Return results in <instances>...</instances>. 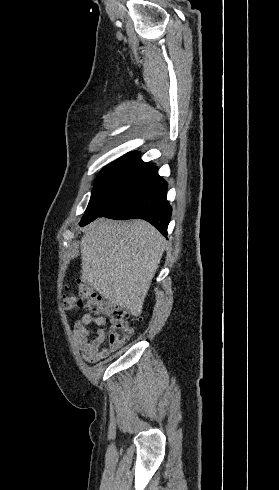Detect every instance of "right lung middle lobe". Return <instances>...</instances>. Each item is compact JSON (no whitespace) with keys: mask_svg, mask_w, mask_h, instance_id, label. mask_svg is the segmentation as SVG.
<instances>
[{"mask_svg":"<svg viewBox=\"0 0 279 490\" xmlns=\"http://www.w3.org/2000/svg\"><path fill=\"white\" fill-rule=\"evenodd\" d=\"M154 165L114 162L104 167L97 178L89 204L80 222L96 219L104 210L106 201L116 192L131 185L144 183L157 175Z\"/></svg>","mask_w":279,"mask_h":490,"instance_id":"1","label":"right lung middle lobe"}]
</instances>
